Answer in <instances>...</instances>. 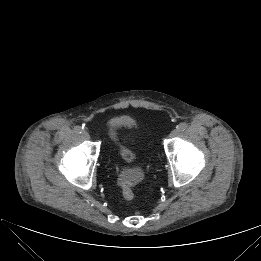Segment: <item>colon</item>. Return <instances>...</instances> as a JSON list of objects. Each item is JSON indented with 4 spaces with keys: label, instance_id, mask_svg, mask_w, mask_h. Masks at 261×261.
<instances>
[{
    "label": "colon",
    "instance_id": "1",
    "mask_svg": "<svg viewBox=\"0 0 261 261\" xmlns=\"http://www.w3.org/2000/svg\"><path fill=\"white\" fill-rule=\"evenodd\" d=\"M120 188L123 198L126 201H132L134 199L133 183L127 177L120 179Z\"/></svg>",
    "mask_w": 261,
    "mask_h": 261
}]
</instances>
